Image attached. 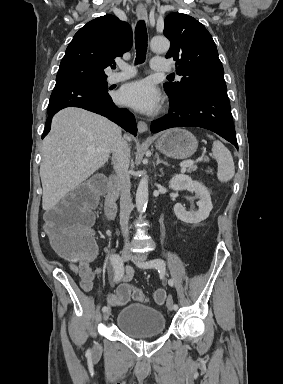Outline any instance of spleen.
<instances>
[{
  "instance_id": "spleen-1",
  "label": "spleen",
  "mask_w": 283,
  "mask_h": 384,
  "mask_svg": "<svg viewBox=\"0 0 283 384\" xmlns=\"http://www.w3.org/2000/svg\"><path fill=\"white\" fill-rule=\"evenodd\" d=\"M208 138L214 140L213 136H208ZM212 152L218 164V180H220V182H228V180H232L235 174V166L231 152H229L219 140H215Z\"/></svg>"
}]
</instances>
